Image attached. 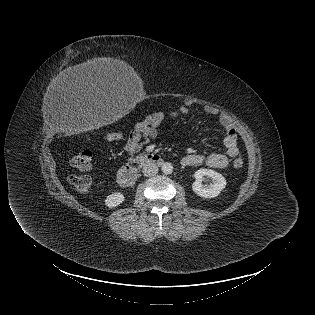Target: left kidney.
Segmentation results:
<instances>
[{
  "label": "left kidney",
  "instance_id": "obj_1",
  "mask_svg": "<svg viewBox=\"0 0 315 315\" xmlns=\"http://www.w3.org/2000/svg\"><path fill=\"white\" fill-rule=\"evenodd\" d=\"M205 176L212 179V183L209 186L202 184ZM194 177L196 180L192 184V189L200 197H217L226 186L225 178L220 173L211 169L201 168L195 172Z\"/></svg>",
  "mask_w": 315,
  "mask_h": 315
}]
</instances>
